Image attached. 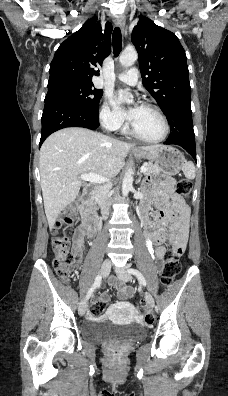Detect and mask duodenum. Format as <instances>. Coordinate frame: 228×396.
<instances>
[{
  "label": "duodenum",
  "instance_id": "410a0bca",
  "mask_svg": "<svg viewBox=\"0 0 228 396\" xmlns=\"http://www.w3.org/2000/svg\"><path fill=\"white\" fill-rule=\"evenodd\" d=\"M82 218L83 227L92 234H95L100 229V220L93 208V199L89 189H86L83 194L82 202L79 206ZM151 229L152 225L146 223Z\"/></svg>",
  "mask_w": 228,
  "mask_h": 396
}]
</instances>
